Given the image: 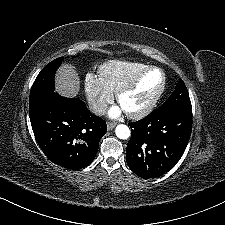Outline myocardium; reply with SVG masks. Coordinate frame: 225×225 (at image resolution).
<instances>
[{
    "mask_svg": "<svg viewBox=\"0 0 225 225\" xmlns=\"http://www.w3.org/2000/svg\"><path fill=\"white\" fill-rule=\"evenodd\" d=\"M150 71H156L161 75V85L151 100L138 112H126L127 116L131 119H142L146 117L154 109L159 99L163 95L166 88V76L162 69L156 66H147L142 70L130 83L121 88L116 94L117 102L120 104L121 100L127 94L135 91L145 75Z\"/></svg>",
    "mask_w": 225,
    "mask_h": 225,
    "instance_id": "obj_1",
    "label": "myocardium"
}]
</instances>
